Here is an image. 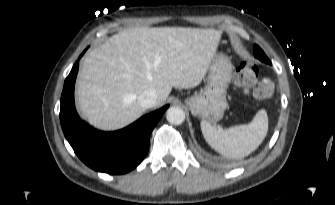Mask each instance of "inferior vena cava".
Here are the masks:
<instances>
[{
  "label": "inferior vena cava",
  "mask_w": 335,
  "mask_h": 205,
  "mask_svg": "<svg viewBox=\"0 0 335 205\" xmlns=\"http://www.w3.org/2000/svg\"><path fill=\"white\" fill-rule=\"evenodd\" d=\"M157 97L155 89H147L138 97V103L144 109L152 108L156 104Z\"/></svg>",
  "instance_id": "1"
}]
</instances>
